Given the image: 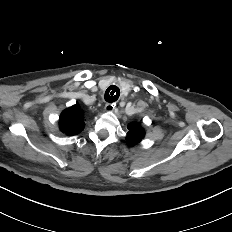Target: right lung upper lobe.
<instances>
[{
	"label": "right lung upper lobe",
	"mask_w": 232,
	"mask_h": 232,
	"mask_svg": "<svg viewBox=\"0 0 232 232\" xmlns=\"http://www.w3.org/2000/svg\"><path fill=\"white\" fill-rule=\"evenodd\" d=\"M60 129L66 135H76L83 130V111L76 104L62 112L59 119Z\"/></svg>",
	"instance_id": "right-lung-upper-lobe-1"
}]
</instances>
